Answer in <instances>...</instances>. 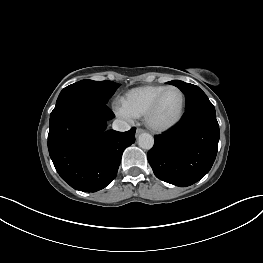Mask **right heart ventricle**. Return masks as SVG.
I'll return each instance as SVG.
<instances>
[{
  "instance_id": "right-heart-ventricle-1",
  "label": "right heart ventricle",
  "mask_w": 263,
  "mask_h": 263,
  "mask_svg": "<svg viewBox=\"0 0 263 263\" xmlns=\"http://www.w3.org/2000/svg\"><path fill=\"white\" fill-rule=\"evenodd\" d=\"M166 87L164 85H147L133 88L121 98V107L133 118L144 117L152 101Z\"/></svg>"
}]
</instances>
